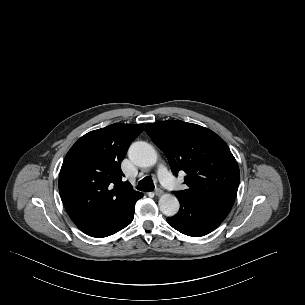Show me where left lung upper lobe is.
Instances as JSON below:
<instances>
[{
    "mask_svg": "<svg viewBox=\"0 0 305 305\" xmlns=\"http://www.w3.org/2000/svg\"><path fill=\"white\" fill-rule=\"evenodd\" d=\"M146 133L165 153L174 175L184 171L187 189L174 192L190 200L234 201L239 167L227 144L213 131L181 120L148 123Z\"/></svg>",
    "mask_w": 305,
    "mask_h": 305,
    "instance_id": "left-lung-upper-lobe-1",
    "label": "left lung upper lobe"
}]
</instances>
